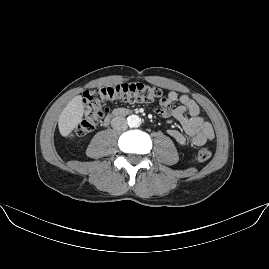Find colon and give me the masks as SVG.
Masks as SVG:
<instances>
[{"mask_svg": "<svg viewBox=\"0 0 269 269\" xmlns=\"http://www.w3.org/2000/svg\"><path fill=\"white\" fill-rule=\"evenodd\" d=\"M163 91L155 85L138 82L121 83L107 87H89L83 93V118L73 137H81L93 130L108 111V107L116 103H152L162 98ZM213 150L206 147L194 157L195 162H204L211 158Z\"/></svg>", "mask_w": 269, "mask_h": 269, "instance_id": "1", "label": "colon"}]
</instances>
